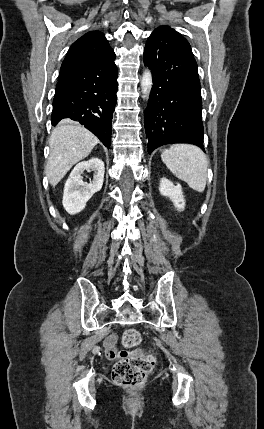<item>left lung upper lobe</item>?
Listing matches in <instances>:
<instances>
[{"label":"left lung upper lobe","mask_w":264,"mask_h":429,"mask_svg":"<svg viewBox=\"0 0 264 429\" xmlns=\"http://www.w3.org/2000/svg\"><path fill=\"white\" fill-rule=\"evenodd\" d=\"M166 28H170V27H168V26H162V27H159L157 29H166Z\"/></svg>","instance_id":"left-lung-upper-lobe-1"}]
</instances>
